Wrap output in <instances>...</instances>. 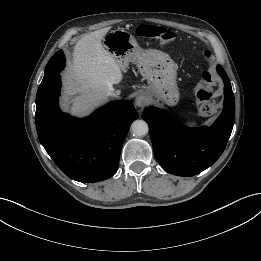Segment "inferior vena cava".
Masks as SVG:
<instances>
[{
  "mask_svg": "<svg viewBox=\"0 0 261 261\" xmlns=\"http://www.w3.org/2000/svg\"><path fill=\"white\" fill-rule=\"evenodd\" d=\"M109 95L113 96V97H118L119 96V92L118 91H111V92H109Z\"/></svg>",
  "mask_w": 261,
  "mask_h": 261,
  "instance_id": "1",
  "label": "inferior vena cava"
}]
</instances>
